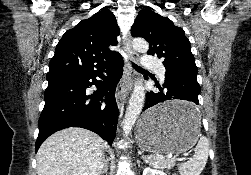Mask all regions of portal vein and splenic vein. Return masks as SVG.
Listing matches in <instances>:
<instances>
[{
    "instance_id": "obj_1",
    "label": "portal vein and splenic vein",
    "mask_w": 251,
    "mask_h": 175,
    "mask_svg": "<svg viewBox=\"0 0 251 175\" xmlns=\"http://www.w3.org/2000/svg\"><path fill=\"white\" fill-rule=\"evenodd\" d=\"M165 157L166 158H174L175 157V154L174 153H166L165 154ZM176 161L177 162H187L188 161V158L187 157H177L176 158ZM85 175V173H84Z\"/></svg>"
}]
</instances>
